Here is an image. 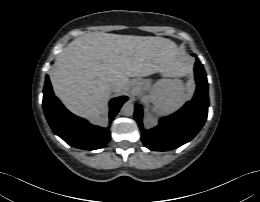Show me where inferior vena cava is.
Wrapping results in <instances>:
<instances>
[{
    "label": "inferior vena cava",
    "instance_id": "602c4592",
    "mask_svg": "<svg viewBox=\"0 0 260 202\" xmlns=\"http://www.w3.org/2000/svg\"><path fill=\"white\" fill-rule=\"evenodd\" d=\"M111 89L113 91H117L118 90V86L116 84H114V85L111 86Z\"/></svg>",
    "mask_w": 260,
    "mask_h": 202
}]
</instances>
